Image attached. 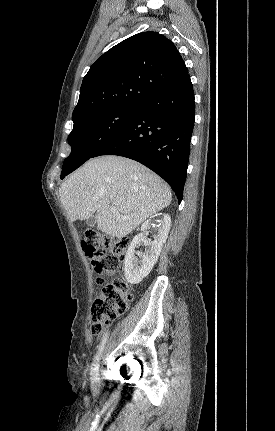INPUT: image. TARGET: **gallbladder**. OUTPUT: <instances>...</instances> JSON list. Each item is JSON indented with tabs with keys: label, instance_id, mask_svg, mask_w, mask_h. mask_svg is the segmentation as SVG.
Listing matches in <instances>:
<instances>
[{
	"label": "gallbladder",
	"instance_id": "gallbladder-1",
	"mask_svg": "<svg viewBox=\"0 0 275 431\" xmlns=\"http://www.w3.org/2000/svg\"><path fill=\"white\" fill-rule=\"evenodd\" d=\"M86 224L88 227H94L96 224V217L95 216H91L86 220Z\"/></svg>",
	"mask_w": 275,
	"mask_h": 431
}]
</instances>
